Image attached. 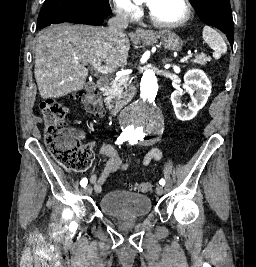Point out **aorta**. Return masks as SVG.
<instances>
[{
    "instance_id": "762f6f07",
    "label": "aorta",
    "mask_w": 256,
    "mask_h": 267,
    "mask_svg": "<svg viewBox=\"0 0 256 267\" xmlns=\"http://www.w3.org/2000/svg\"><path fill=\"white\" fill-rule=\"evenodd\" d=\"M157 75L154 72H145L141 78L140 101L126 108L125 117H121V127H159V122H164L160 117L161 108L150 104L156 97ZM125 133H140L142 143H159V138H151V133H156V128H125Z\"/></svg>"
}]
</instances>
